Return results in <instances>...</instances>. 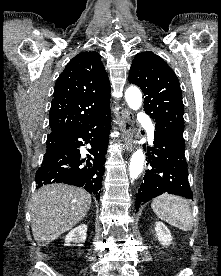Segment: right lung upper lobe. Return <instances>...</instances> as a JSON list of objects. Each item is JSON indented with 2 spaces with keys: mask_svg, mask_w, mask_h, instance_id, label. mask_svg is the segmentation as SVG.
I'll use <instances>...</instances> for the list:
<instances>
[{
  "mask_svg": "<svg viewBox=\"0 0 221 276\" xmlns=\"http://www.w3.org/2000/svg\"><path fill=\"white\" fill-rule=\"evenodd\" d=\"M110 108V83L99 54L81 52L58 77L50 108L48 137H69Z\"/></svg>",
  "mask_w": 221,
  "mask_h": 276,
  "instance_id": "cb5924a9",
  "label": "right lung upper lobe"
}]
</instances>
